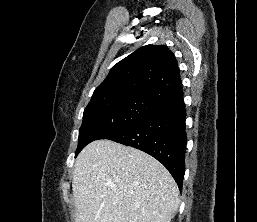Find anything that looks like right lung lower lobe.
Instances as JSON below:
<instances>
[{"label": "right lung lower lobe", "instance_id": "right-lung-lower-lobe-1", "mask_svg": "<svg viewBox=\"0 0 257 222\" xmlns=\"http://www.w3.org/2000/svg\"><path fill=\"white\" fill-rule=\"evenodd\" d=\"M183 96L160 105L109 140L142 150L161 162L182 189L187 144Z\"/></svg>", "mask_w": 257, "mask_h": 222}]
</instances>
